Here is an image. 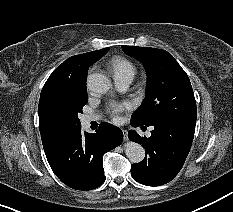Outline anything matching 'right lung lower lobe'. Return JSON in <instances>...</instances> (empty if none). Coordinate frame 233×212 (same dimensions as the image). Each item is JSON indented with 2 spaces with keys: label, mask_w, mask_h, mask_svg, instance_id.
<instances>
[{
  "label": "right lung lower lobe",
  "mask_w": 233,
  "mask_h": 212,
  "mask_svg": "<svg viewBox=\"0 0 233 212\" xmlns=\"http://www.w3.org/2000/svg\"><path fill=\"white\" fill-rule=\"evenodd\" d=\"M122 141L123 133L118 127L101 123L93 134L82 132L81 127L69 132L45 154L63 183L77 190H92L105 181L103 155Z\"/></svg>",
  "instance_id": "right-lung-lower-lobe-1"
}]
</instances>
